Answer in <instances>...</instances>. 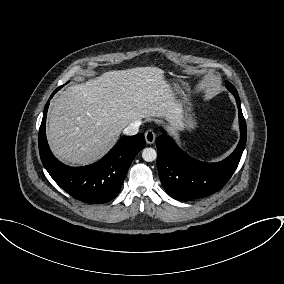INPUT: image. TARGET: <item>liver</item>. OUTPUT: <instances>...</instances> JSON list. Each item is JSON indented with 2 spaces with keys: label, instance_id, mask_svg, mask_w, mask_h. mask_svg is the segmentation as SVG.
<instances>
[{
  "label": "liver",
  "instance_id": "obj_1",
  "mask_svg": "<svg viewBox=\"0 0 284 284\" xmlns=\"http://www.w3.org/2000/svg\"><path fill=\"white\" fill-rule=\"evenodd\" d=\"M155 117L175 136L182 128L181 105L164 72L114 70L62 91L51 102L46 134L58 159L82 166L102 158L127 125Z\"/></svg>",
  "mask_w": 284,
  "mask_h": 284
}]
</instances>
